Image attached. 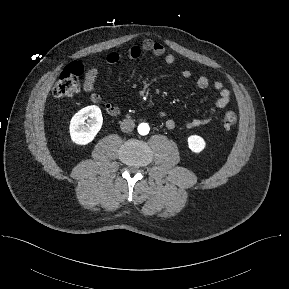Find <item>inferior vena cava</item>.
Instances as JSON below:
<instances>
[{
  "instance_id": "obj_1",
  "label": "inferior vena cava",
  "mask_w": 289,
  "mask_h": 289,
  "mask_svg": "<svg viewBox=\"0 0 289 289\" xmlns=\"http://www.w3.org/2000/svg\"><path fill=\"white\" fill-rule=\"evenodd\" d=\"M135 127V123L133 120L131 119H124L121 124H120V128L123 132H131Z\"/></svg>"
}]
</instances>
